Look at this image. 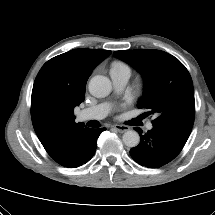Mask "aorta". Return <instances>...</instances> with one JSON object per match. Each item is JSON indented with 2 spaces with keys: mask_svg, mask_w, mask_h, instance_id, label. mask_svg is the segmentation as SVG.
Instances as JSON below:
<instances>
[{
  "mask_svg": "<svg viewBox=\"0 0 215 215\" xmlns=\"http://www.w3.org/2000/svg\"><path fill=\"white\" fill-rule=\"evenodd\" d=\"M88 88L90 94L94 97L104 98L110 94L112 85L107 77L97 75L91 78ZM122 140L127 147L132 148L139 144L140 136L135 130H128L123 134Z\"/></svg>",
  "mask_w": 215,
  "mask_h": 215,
  "instance_id": "aorta-1",
  "label": "aorta"
}]
</instances>
